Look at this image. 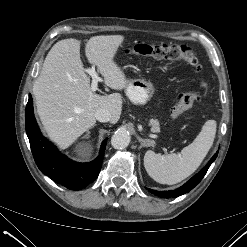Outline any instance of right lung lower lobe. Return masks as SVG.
Wrapping results in <instances>:
<instances>
[{
  "label": "right lung lower lobe",
  "mask_w": 247,
  "mask_h": 247,
  "mask_svg": "<svg viewBox=\"0 0 247 247\" xmlns=\"http://www.w3.org/2000/svg\"><path fill=\"white\" fill-rule=\"evenodd\" d=\"M26 133L38 168L54 182L70 190H80L93 182L102 166L107 139L102 142L99 156L90 163H77L49 142L40 132L33 113V100H29L25 111Z\"/></svg>",
  "instance_id": "1"
}]
</instances>
